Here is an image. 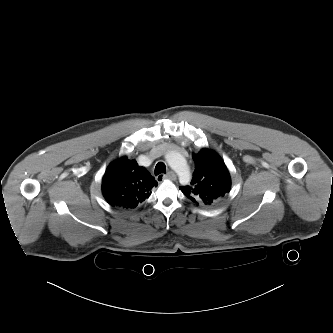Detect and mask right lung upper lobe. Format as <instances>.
<instances>
[{
	"instance_id": "1",
	"label": "right lung upper lobe",
	"mask_w": 333,
	"mask_h": 333,
	"mask_svg": "<svg viewBox=\"0 0 333 333\" xmlns=\"http://www.w3.org/2000/svg\"><path fill=\"white\" fill-rule=\"evenodd\" d=\"M157 185L146 168L121 157L108 166L102 179V193L110 205L130 209L147 199Z\"/></svg>"
}]
</instances>
